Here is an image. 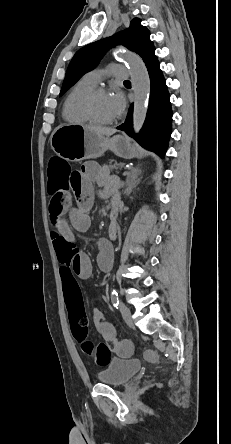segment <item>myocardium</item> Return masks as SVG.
<instances>
[{"mask_svg": "<svg viewBox=\"0 0 231 444\" xmlns=\"http://www.w3.org/2000/svg\"><path fill=\"white\" fill-rule=\"evenodd\" d=\"M99 94H108V90L104 87H94L84 97L82 101V111L89 122L97 125H110L117 122L118 117L111 120H99L95 117L92 109V102Z\"/></svg>", "mask_w": 231, "mask_h": 444, "instance_id": "obj_1", "label": "myocardium"}]
</instances>
